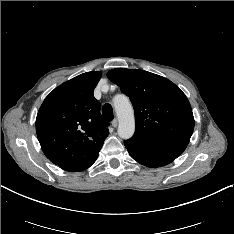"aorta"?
<instances>
[{"label":"aorta","mask_w":234,"mask_h":234,"mask_svg":"<svg viewBox=\"0 0 234 234\" xmlns=\"http://www.w3.org/2000/svg\"><path fill=\"white\" fill-rule=\"evenodd\" d=\"M116 115L119 120L118 135L129 139L135 132L134 111L127 97H119L114 101Z\"/></svg>","instance_id":"762f6f07"}]
</instances>
